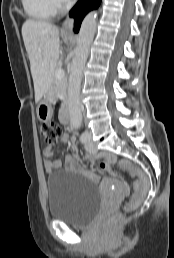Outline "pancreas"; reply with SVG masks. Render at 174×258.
Returning a JSON list of instances; mask_svg holds the SVG:
<instances>
[{"instance_id": "1", "label": "pancreas", "mask_w": 174, "mask_h": 258, "mask_svg": "<svg viewBox=\"0 0 174 258\" xmlns=\"http://www.w3.org/2000/svg\"><path fill=\"white\" fill-rule=\"evenodd\" d=\"M58 69H59V67L56 68V71ZM66 88H67L66 80L58 79L54 74L52 86L50 89L51 90V101L54 102L58 95H62L65 98L66 97Z\"/></svg>"}]
</instances>
